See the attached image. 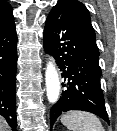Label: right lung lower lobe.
<instances>
[{
	"instance_id": "98d812e1",
	"label": "right lung lower lobe",
	"mask_w": 117,
	"mask_h": 131,
	"mask_svg": "<svg viewBox=\"0 0 117 131\" xmlns=\"http://www.w3.org/2000/svg\"><path fill=\"white\" fill-rule=\"evenodd\" d=\"M17 34L15 26L0 35V115L16 130Z\"/></svg>"
}]
</instances>
